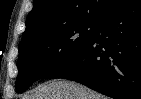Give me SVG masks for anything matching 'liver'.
I'll return each mask as SVG.
<instances>
[{"mask_svg":"<svg viewBox=\"0 0 141 99\" xmlns=\"http://www.w3.org/2000/svg\"><path fill=\"white\" fill-rule=\"evenodd\" d=\"M27 99H108L90 88L68 80H53L38 86Z\"/></svg>","mask_w":141,"mask_h":99,"instance_id":"6515ba94","label":"liver"}]
</instances>
